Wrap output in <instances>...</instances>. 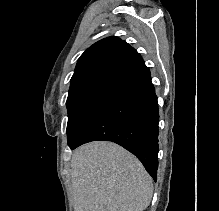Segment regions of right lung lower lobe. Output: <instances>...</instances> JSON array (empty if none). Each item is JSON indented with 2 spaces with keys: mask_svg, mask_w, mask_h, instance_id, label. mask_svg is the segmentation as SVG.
Returning a JSON list of instances; mask_svg holds the SVG:
<instances>
[{
  "mask_svg": "<svg viewBox=\"0 0 219 211\" xmlns=\"http://www.w3.org/2000/svg\"><path fill=\"white\" fill-rule=\"evenodd\" d=\"M158 123L157 96L145 66L109 91L70 148L97 140L115 142L133 153L156 181Z\"/></svg>",
  "mask_w": 219,
  "mask_h": 211,
  "instance_id": "1",
  "label": "right lung lower lobe"
}]
</instances>
